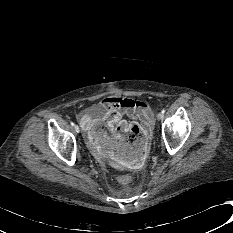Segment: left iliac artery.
Here are the masks:
<instances>
[{"label": "left iliac artery", "mask_w": 233, "mask_h": 233, "mask_svg": "<svg viewBox=\"0 0 233 233\" xmlns=\"http://www.w3.org/2000/svg\"><path fill=\"white\" fill-rule=\"evenodd\" d=\"M164 113H165V109L162 110V114H164Z\"/></svg>", "instance_id": "left-iliac-artery-1"}]
</instances>
